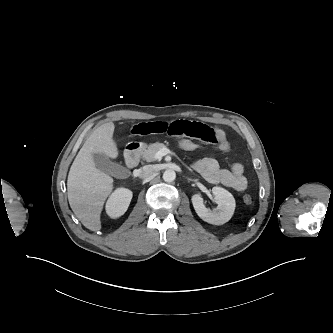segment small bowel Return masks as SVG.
Instances as JSON below:
<instances>
[{"label":"small bowel","instance_id":"small-bowel-1","mask_svg":"<svg viewBox=\"0 0 333 333\" xmlns=\"http://www.w3.org/2000/svg\"><path fill=\"white\" fill-rule=\"evenodd\" d=\"M130 132L136 136L165 134L170 137H190L209 144H215L222 152L230 148L225 133L206 123L186 120H154L133 125ZM194 169L208 182L222 184L236 191H243L247 187L244 167L236 162L230 168H221L218 161L211 157L202 158L194 163Z\"/></svg>","mask_w":333,"mask_h":333}]
</instances>
